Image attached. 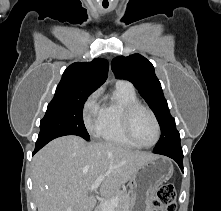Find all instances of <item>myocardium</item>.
I'll use <instances>...</instances> for the list:
<instances>
[{"instance_id": "myocardium-1", "label": "myocardium", "mask_w": 221, "mask_h": 211, "mask_svg": "<svg viewBox=\"0 0 221 211\" xmlns=\"http://www.w3.org/2000/svg\"><path fill=\"white\" fill-rule=\"evenodd\" d=\"M140 110H144L149 113V115L151 116V118L154 122L155 129H156V137H155L154 141L148 145H144V144L139 143L136 140L134 133H133V118H134L135 114ZM122 126H123V131H124L126 137L136 147L151 148L154 145H156L157 142L159 141L160 134H161L159 121H158L155 113L153 112V110L144 104H141L138 102V103H133V104L127 105L123 109V112H122Z\"/></svg>"}]
</instances>
